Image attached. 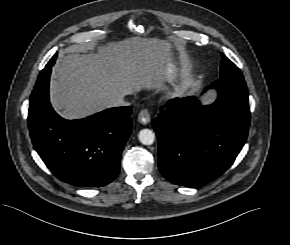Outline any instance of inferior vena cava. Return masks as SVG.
<instances>
[{"mask_svg":"<svg viewBox=\"0 0 290 245\" xmlns=\"http://www.w3.org/2000/svg\"><path fill=\"white\" fill-rule=\"evenodd\" d=\"M111 105L115 107H121L128 106L130 103L124 100V96H118L112 100Z\"/></svg>","mask_w":290,"mask_h":245,"instance_id":"inferior-vena-cava-1","label":"inferior vena cava"}]
</instances>
